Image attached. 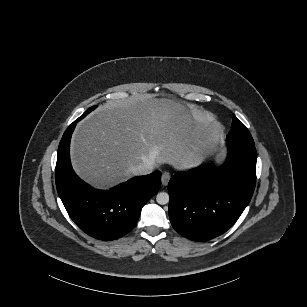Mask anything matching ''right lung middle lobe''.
<instances>
[{"mask_svg": "<svg viewBox=\"0 0 307 307\" xmlns=\"http://www.w3.org/2000/svg\"><path fill=\"white\" fill-rule=\"evenodd\" d=\"M95 108H96V106H93V107L89 108L84 114L87 115L88 113H90Z\"/></svg>", "mask_w": 307, "mask_h": 307, "instance_id": "obj_1", "label": "right lung middle lobe"}]
</instances>
